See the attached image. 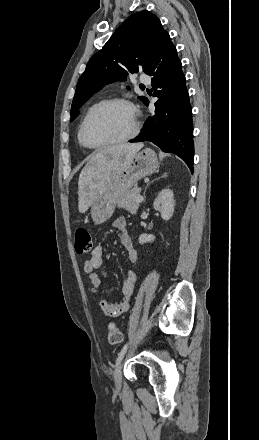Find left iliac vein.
Instances as JSON below:
<instances>
[{
    "label": "left iliac vein",
    "instance_id": "left-iliac-vein-1",
    "mask_svg": "<svg viewBox=\"0 0 259 440\" xmlns=\"http://www.w3.org/2000/svg\"><path fill=\"white\" fill-rule=\"evenodd\" d=\"M123 362H124V358L122 357V359L118 363V365L115 369V373H114V382H115V386L117 389H119L121 387V383H122Z\"/></svg>",
    "mask_w": 259,
    "mask_h": 440
}]
</instances>
